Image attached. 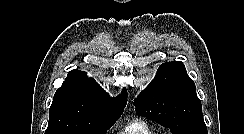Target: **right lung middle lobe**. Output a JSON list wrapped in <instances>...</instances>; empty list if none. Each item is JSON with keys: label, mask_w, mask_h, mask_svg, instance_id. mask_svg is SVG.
I'll list each match as a JSON object with an SVG mask.
<instances>
[{"label": "right lung middle lobe", "mask_w": 244, "mask_h": 134, "mask_svg": "<svg viewBox=\"0 0 244 134\" xmlns=\"http://www.w3.org/2000/svg\"><path fill=\"white\" fill-rule=\"evenodd\" d=\"M120 116L82 118L50 112L45 134H105Z\"/></svg>", "instance_id": "right-lung-middle-lobe-1"}]
</instances>
